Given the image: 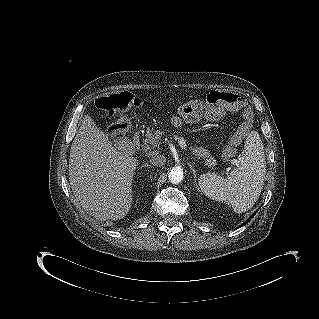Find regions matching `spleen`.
<instances>
[{"label":"spleen","instance_id":"3e777b00","mask_svg":"<svg viewBox=\"0 0 319 319\" xmlns=\"http://www.w3.org/2000/svg\"><path fill=\"white\" fill-rule=\"evenodd\" d=\"M266 161L263 143L256 131L248 133L237 167L227 178L215 173L202 174L199 186L209 198L227 203L235 212L251 208L258 200L264 185Z\"/></svg>","mask_w":319,"mask_h":319}]
</instances>
